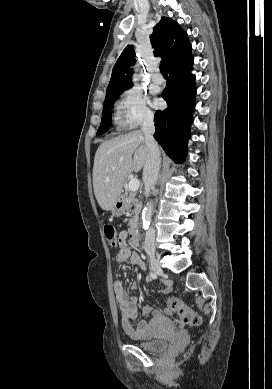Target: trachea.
<instances>
[{"instance_id": "trachea-1", "label": "trachea", "mask_w": 272, "mask_h": 389, "mask_svg": "<svg viewBox=\"0 0 272 389\" xmlns=\"http://www.w3.org/2000/svg\"><path fill=\"white\" fill-rule=\"evenodd\" d=\"M159 68H160V72L162 75H164V76L168 75L167 67L164 63H162Z\"/></svg>"}]
</instances>
